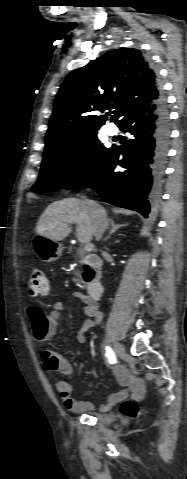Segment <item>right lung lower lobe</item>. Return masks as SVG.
<instances>
[{
    "label": "right lung lower lobe",
    "mask_w": 187,
    "mask_h": 479,
    "mask_svg": "<svg viewBox=\"0 0 187 479\" xmlns=\"http://www.w3.org/2000/svg\"><path fill=\"white\" fill-rule=\"evenodd\" d=\"M119 127L132 136L112 147L105 161L77 187H93L108 203L144 217L159 200L170 139V119L163 93L147 108L124 117ZM126 168L116 172L115 167Z\"/></svg>",
    "instance_id": "98d812e1"
}]
</instances>
